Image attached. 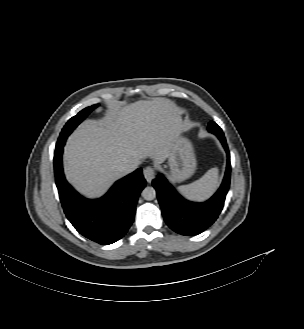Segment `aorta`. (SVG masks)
Instances as JSON below:
<instances>
[{"label":"aorta","mask_w":304,"mask_h":329,"mask_svg":"<svg viewBox=\"0 0 304 329\" xmlns=\"http://www.w3.org/2000/svg\"><path fill=\"white\" fill-rule=\"evenodd\" d=\"M142 197L145 200L151 201L156 197V191L153 187H145L142 191Z\"/></svg>","instance_id":"aorta-1"}]
</instances>
